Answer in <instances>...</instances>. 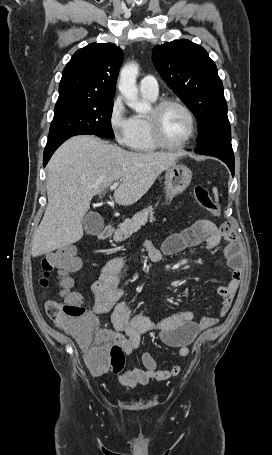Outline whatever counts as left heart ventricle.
<instances>
[{
    "label": "left heart ventricle",
    "mask_w": 272,
    "mask_h": 455,
    "mask_svg": "<svg viewBox=\"0 0 272 455\" xmlns=\"http://www.w3.org/2000/svg\"><path fill=\"white\" fill-rule=\"evenodd\" d=\"M160 129L164 140L170 144L182 142L189 133V120L177 106H168L160 117Z\"/></svg>",
    "instance_id": "1"
}]
</instances>
